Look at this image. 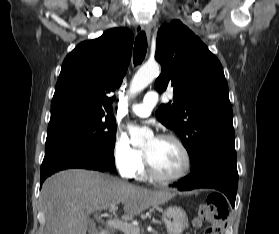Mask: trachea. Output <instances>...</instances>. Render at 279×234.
<instances>
[{"instance_id":"obj_1","label":"trachea","mask_w":279,"mask_h":234,"mask_svg":"<svg viewBox=\"0 0 279 234\" xmlns=\"http://www.w3.org/2000/svg\"><path fill=\"white\" fill-rule=\"evenodd\" d=\"M147 52V38L144 31L140 32L135 40L134 46V64H140L146 55Z\"/></svg>"}]
</instances>
